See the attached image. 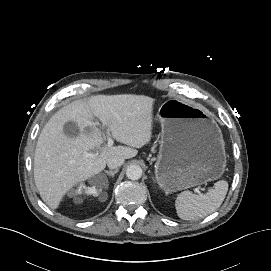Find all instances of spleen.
<instances>
[{"mask_svg": "<svg viewBox=\"0 0 271 271\" xmlns=\"http://www.w3.org/2000/svg\"><path fill=\"white\" fill-rule=\"evenodd\" d=\"M228 191V183L219 180L205 194H193L190 191L181 192L175 201L177 215L182 220H198L215 212L223 203Z\"/></svg>", "mask_w": 271, "mask_h": 271, "instance_id": "obj_1", "label": "spleen"}]
</instances>
